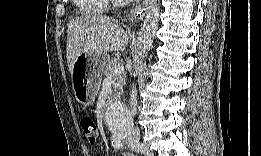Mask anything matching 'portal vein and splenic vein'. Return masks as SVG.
I'll list each match as a JSON object with an SVG mask.
<instances>
[{
	"instance_id": "obj_1",
	"label": "portal vein and splenic vein",
	"mask_w": 261,
	"mask_h": 156,
	"mask_svg": "<svg viewBox=\"0 0 261 156\" xmlns=\"http://www.w3.org/2000/svg\"><path fill=\"white\" fill-rule=\"evenodd\" d=\"M122 72H124V66L121 63L115 64L114 67L112 68L113 74H120Z\"/></svg>"
}]
</instances>
